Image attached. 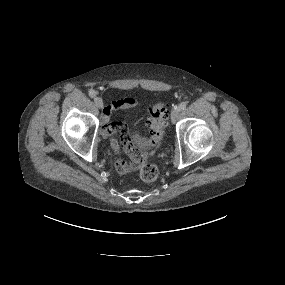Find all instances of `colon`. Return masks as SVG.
<instances>
[{"mask_svg":"<svg viewBox=\"0 0 285 285\" xmlns=\"http://www.w3.org/2000/svg\"><path fill=\"white\" fill-rule=\"evenodd\" d=\"M168 118V106L164 103H156L150 109L149 130L150 136L147 139L149 148L156 147L164 136ZM113 133L119 132L122 134L123 147L130 154V166L139 168L140 177L145 182H152L158 176V170L153 164L145 163L143 155L133 147L131 141L126 135L121 126L112 124Z\"/></svg>","mask_w":285,"mask_h":285,"instance_id":"obj_1","label":"colon"}]
</instances>
